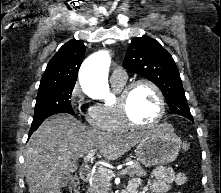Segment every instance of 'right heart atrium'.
<instances>
[{
  "label": "right heart atrium",
  "mask_w": 221,
  "mask_h": 193,
  "mask_svg": "<svg viewBox=\"0 0 221 193\" xmlns=\"http://www.w3.org/2000/svg\"><path fill=\"white\" fill-rule=\"evenodd\" d=\"M69 102L73 107L79 110H84L87 115H89L92 106L86 102L78 84H76L70 91Z\"/></svg>",
  "instance_id": "d8ad5b80"
}]
</instances>
